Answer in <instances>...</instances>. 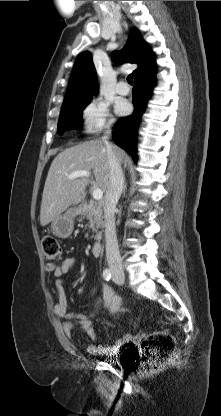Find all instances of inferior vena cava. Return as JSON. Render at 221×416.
I'll return each instance as SVG.
<instances>
[{
  "label": "inferior vena cava",
  "instance_id": "602c4592",
  "mask_svg": "<svg viewBox=\"0 0 221 416\" xmlns=\"http://www.w3.org/2000/svg\"><path fill=\"white\" fill-rule=\"evenodd\" d=\"M110 134L111 129L110 126H108L104 136L102 137V141L107 149V159L110 169L109 186L105 194L103 207L105 219L106 259L111 272H122V261L115 227V209L124 187V175L118 157L113 150V146L108 141Z\"/></svg>",
  "mask_w": 221,
  "mask_h": 416
}]
</instances>
